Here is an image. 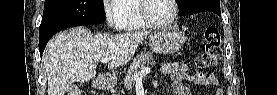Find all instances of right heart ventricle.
<instances>
[{"label":"right heart ventricle","instance_id":"e07e8e85","mask_svg":"<svg viewBox=\"0 0 277 95\" xmlns=\"http://www.w3.org/2000/svg\"><path fill=\"white\" fill-rule=\"evenodd\" d=\"M140 0H121L117 7L121 9V28L136 30L146 28L148 25L142 19L139 12Z\"/></svg>","mask_w":277,"mask_h":95}]
</instances>
